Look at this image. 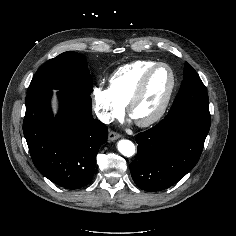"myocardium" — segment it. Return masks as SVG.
I'll list each match as a JSON object with an SVG mask.
<instances>
[{
	"label": "myocardium",
	"instance_id": "1",
	"mask_svg": "<svg viewBox=\"0 0 236 236\" xmlns=\"http://www.w3.org/2000/svg\"><path fill=\"white\" fill-rule=\"evenodd\" d=\"M161 67H164V68L168 69V71L170 73V85H169L168 91L165 95V98H164L161 106L155 112L154 115H152L150 118L145 119V120H141V121H136L135 120L136 124L140 127H149V126H152L155 123H157L163 117V115L165 114V112H166V110H167V108L170 104L172 95L174 93L175 86H176V76H175L174 70L167 63H164V62L156 63L153 66H151L143 74V76L141 77L137 87L135 88L134 92L130 96V98H129L127 104H126L127 114L132 118V110H133L134 106L138 103L140 98L142 97L150 77L152 76V74L157 69H159Z\"/></svg>",
	"mask_w": 236,
	"mask_h": 236
}]
</instances>
